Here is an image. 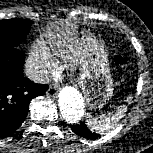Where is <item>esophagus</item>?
<instances>
[{"label": "esophagus", "instance_id": "obj_1", "mask_svg": "<svg viewBox=\"0 0 153 153\" xmlns=\"http://www.w3.org/2000/svg\"><path fill=\"white\" fill-rule=\"evenodd\" d=\"M57 89L56 86H50L48 91H47V95L50 97H55L57 95Z\"/></svg>", "mask_w": 153, "mask_h": 153}]
</instances>
